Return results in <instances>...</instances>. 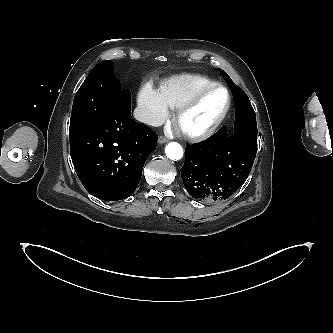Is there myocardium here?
Returning <instances> with one entry per match:
<instances>
[{
  "label": "myocardium",
  "mask_w": 333,
  "mask_h": 333,
  "mask_svg": "<svg viewBox=\"0 0 333 333\" xmlns=\"http://www.w3.org/2000/svg\"><path fill=\"white\" fill-rule=\"evenodd\" d=\"M218 89L224 90L227 96L226 105L221 111V113L218 115V117L210 125H208L203 129L200 130L185 129L182 126V121L184 117L190 111H192L206 95ZM231 106H232V96L229 89L222 84L216 83L200 90L193 97H191L186 103H184L180 108H178L174 117V124L177 130L185 138L192 141L205 140L211 137L219 129V127L222 125V123L225 121L226 117L228 116Z\"/></svg>",
  "instance_id": "obj_1"
}]
</instances>
